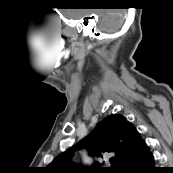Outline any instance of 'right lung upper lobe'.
I'll return each instance as SVG.
<instances>
[{
    "label": "right lung upper lobe",
    "instance_id": "obj_1",
    "mask_svg": "<svg viewBox=\"0 0 173 173\" xmlns=\"http://www.w3.org/2000/svg\"><path fill=\"white\" fill-rule=\"evenodd\" d=\"M147 146L136 128L122 115L112 114L99 122L94 130L72 149L57 156L46 167L47 173H116L122 163L130 156ZM86 148L89 156L103 158L114 155L113 167H73L71 158L76 149Z\"/></svg>",
    "mask_w": 173,
    "mask_h": 173
}]
</instances>
